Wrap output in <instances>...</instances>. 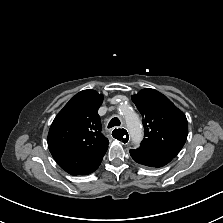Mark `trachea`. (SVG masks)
Wrapping results in <instances>:
<instances>
[{"mask_svg": "<svg viewBox=\"0 0 223 223\" xmlns=\"http://www.w3.org/2000/svg\"><path fill=\"white\" fill-rule=\"evenodd\" d=\"M120 124H121L120 120L117 117H115V118L111 119V121L109 122L108 128L120 126ZM112 135H113V133H112Z\"/></svg>", "mask_w": 223, "mask_h": 223, "instance_id": "trachea-1", "label": "trachea"}]
</instances>
